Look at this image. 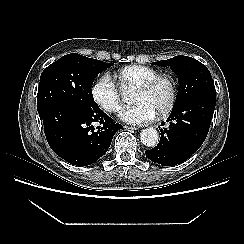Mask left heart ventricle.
<instances>
[{
  "label": "left heart ventricle",
  "instance_id": "left-heart-ventricle-1",
  "mask_svg": "<svg viewBox=\"0 0 244 244\" xmlns=\"http://www.w3.org/2000/svg\"><path fill=\"white\" fill-rule=\"evenodd\" d=\"M170 97V86L167 81L159 82L156 87L149 92L136 91L133 96L135 104L145 103L151 106L156 114L162 110Z\"/></svg>",
  "mask_w": 244,
  "mask_h": 244
}]
</instances>
